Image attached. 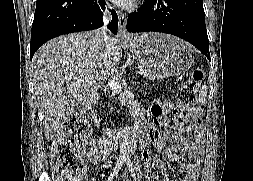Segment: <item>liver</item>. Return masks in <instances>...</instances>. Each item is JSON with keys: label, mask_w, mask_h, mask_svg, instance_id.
I'll return each mask as SVG.
<instances>
[{"label": "liver", "mask_w": 253, "mask_h": 181, "mask_svg": "<svg viewBox=\"0 0 253 181\" xmlns=\"http://www.w3.org/2000/svg\"><path fill=\"white\" fill-rule=\"evenodd\" d=\"M110 39L114 46L110 52L96 31H87L57 37L35 53L33 85L44 115L46 140H52L78 105L117 73L121 45L118 39Z\"/></svg>", "instance_id": "liver-1"}]
</instances>
